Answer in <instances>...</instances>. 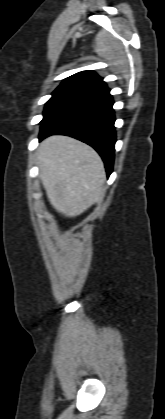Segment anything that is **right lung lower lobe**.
<instances>
[{
  "instance_id": "right-lung-lower-lobe-1",
  "label": "right lung lower lobe",
  "mask_w": 165,
  "mask_h": 419,
  "mask_svg": "<svg viewBox=\"0 0 165 419\" xmlns=\"http://www.w3.org/2000/svg\"><path fill=\"white\" fill-rule=\"evenodd\" d=\"M110 90L83 96L50 115L42 124L39 139L62 134L92 146L102 157L107 175L113 169L115 151V117Z\"/></svg>"
}]
</instances>
